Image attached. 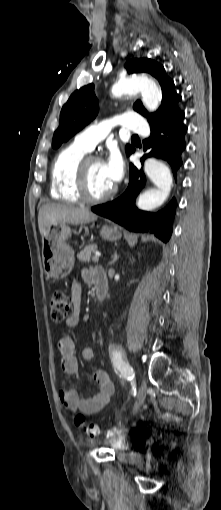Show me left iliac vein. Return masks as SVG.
Returning <instances> with one entry per match:
<instances>
[{
	"label": "left iliac vein",
	"instance_id": "1",
	"mask_svg": "<svg viewBox=\"0 0 221 510\" xmlns=\"http://www.w3.org/2000/svg\"><path fill=\"white\" fill-rule=\"evenodd\" d=\"M146 390H147L146 382L143 380L141 382L139 390H138L137 400H136L135 406H134V411H137L144 403V400L146 398Z\"/></svg>",
	"mask_w": 221,
	"mask_h": 510
}]
</instances>
